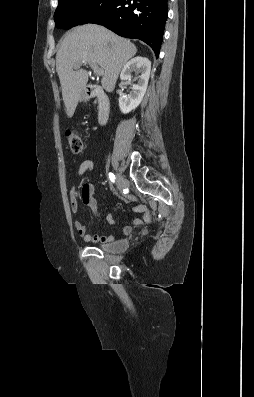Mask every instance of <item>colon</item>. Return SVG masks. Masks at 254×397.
Masks as SVG:
<instances>
[{"instance_id": "obj_1", "label": "colon", "mask_w": 254, "mask_h": 397, "mask_svg": "<svg viewBox=\"0 0 254 397\" xmlns=\"http://www.w3.org/2000/svg\"><path fill=\"white\" fill-rule=\"evenodd\" d=\"M66 136L68 139L69 147L73 153H80L83 149V141L81 137L73 132V131H66Z\"/></svg>"}]
</instances>
